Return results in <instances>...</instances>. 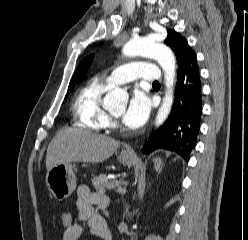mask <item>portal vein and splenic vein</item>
<instances>
[{
  "label": "portal vein and splenic vein",
  "mask_w": 248,
  "mask_h": 240,
  "mask_svg": "<svg viewBox=\"0 0 248 240\" xmlns=\"http://www.w3.org/2000/svg\"><path fill=\"white\" fill-rule=\"evenodd\" d=\"M120 183V181H114V184L115 185H118ZM112 187H114L113 185H111L109 188H112Z\"/></svg>",
  "instance_id": "18ae733b"
}]
</instances>
